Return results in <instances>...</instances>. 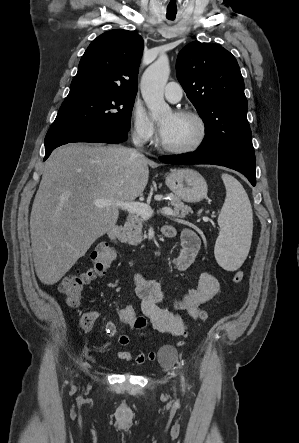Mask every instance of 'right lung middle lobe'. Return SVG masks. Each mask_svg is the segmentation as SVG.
Segmentation results:
<instances>
[{"instance_id": "right-lung-middle-lobe-1", "label": "right lung middle lobe", "mask_w": 299, "mask_h": 443, "mask_svg": "<svg viewBox=\"0 0 299 443\" xmlns=\"http://www.w3.org/2000/svg\"><path fill=\"white\" fill-rule=\"evenodd\" d=\"M135 96L97 88L70 89L49 130L112 126L129 131Z\"/></svg>"}]
</instances>
